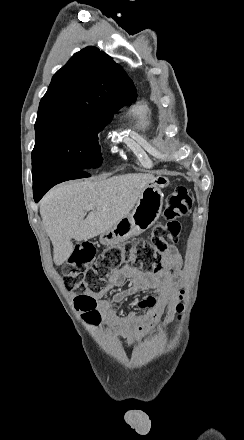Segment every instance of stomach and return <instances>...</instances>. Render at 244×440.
Here are the masks:
<instances>
[{"mask_svg": "<svg viewBox=\"0 0 244 440\" xmlns=\"http://www.w3.org/2000/svg\"><path fill=\"white\" fill-rule=\"evenodd\" d=\"M171 182L168 176H156L143 188L134 210L115 226L100 234V244L116 246L129 238L140 236L159 220L162 212L164 194L162 188H168Z\"/></svg>", "mask_w": 244, "mask_h": 440, "instance_id": "1", "label": "stomach"}]
</instances>
